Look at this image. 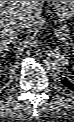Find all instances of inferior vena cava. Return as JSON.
<instances>
[{"label":"inferior vena cava","mask_w":74,"mask_h":122,"mask_svg":"<svg viewBox=\"0 0 74 122\" xmlns=\"http://www.w3.org/2000/svg\"><path fill=\"white\" fill-rule=\"evenodd\" d=\"M13 28L17 31V32H20L22 31L23 29L26 28V23L24 22H19V21H15L13 23Z\"/></svg>","instance_id":"obj_1"}]
</instances>
